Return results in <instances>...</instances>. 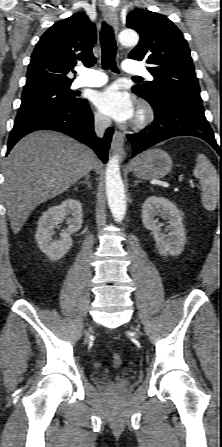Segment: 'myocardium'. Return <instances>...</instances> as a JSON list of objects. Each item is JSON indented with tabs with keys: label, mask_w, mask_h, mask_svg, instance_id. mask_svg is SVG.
Instances as JSON below:
<instances>
[{
	"label": "myocardium",
	"mask_w": 222,
	"mask_h": 447,
	"mask_svg": "<svg viewBox=\"0 0 222 447\" xmlns=\"http://www.w3.org/2000/svg\"><path fill=\"white\" fill-rule=\"evenodd\" d=\"M153 117V113L152 110L149 106H142L137 114V118H136V126L137 127H143L145 126L147 123L150 122V120Z\"/></svg>",
	"instance_id": "myocardium-1"
}]
</instances>
